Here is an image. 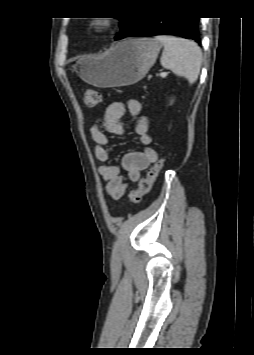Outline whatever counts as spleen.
Returning a JSON list of instances; mask_svg holds the SVG:
<instances>
[{
  "label": "spleen",
  "mask_w": 254,
  "mask_h": 355,
  "mask_svg": "<svg viewBox=\"0 0 254 355\" xmlns=\"http://www.w3.org/2000/svg\"><path fill=\"white\" fill-rule=\"evenodd\" d=\"M155 39L164 45L160 59L164 68L184 77L193 84L200 73L202 52L193 41L173 36H156Z\"/></svg>",
  "instance_id": "spleen-1"
}]
</instances>
